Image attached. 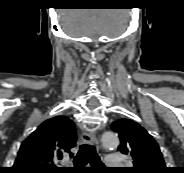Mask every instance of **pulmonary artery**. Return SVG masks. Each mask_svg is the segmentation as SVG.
Instances as JSON below:
<instances>
[{"label": "pulmonary artery", "instance_id": "1", "mask_svg": "<svg viewBox=\"0 0 184 173\" xmlns=\"http://www.w3.org/2000/svg\"><path fill=\"white\" fill-rule=\"evenodd\" d=\"M105 165L111 168H118L119 166H121L122 165L121 154L116 153L107 155L105 159Z\"/></svg>", "mask_w": 184, "mask_h": 173}]
</instances>
